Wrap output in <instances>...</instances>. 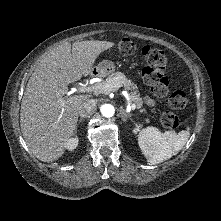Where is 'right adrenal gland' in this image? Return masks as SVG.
I'll list each match as a JSON object with an SVG mask.
<instances>
[{
  "label": "right adrenal gland",
  "instance_id": "2a0ac1e0",
  "mask_svg": "<svg viewBox=\"0 0 221 221\" xmlns=\"http://www.w3.org/2000/svg\"><path fill=\"white\" fill-rule=\"evenodd\" d=\"M83 121H84V119H83V118L79 119V123H80V122H83Z\"/></svg>",
  "mask_w": 221,
  "mask_h": 221
}]
</instances>
